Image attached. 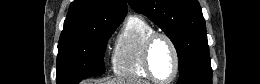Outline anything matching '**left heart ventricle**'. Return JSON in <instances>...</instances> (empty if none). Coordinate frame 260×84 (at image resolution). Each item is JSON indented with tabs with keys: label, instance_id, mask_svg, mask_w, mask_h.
<instances>
[{
	"label": "left heart ventricle",
	"instance_id": "left-heart-ventricle-1",
	"mask_svg": "<svg viewBox=\"0 0 260 84\" xmlns=\"http://www.w3.org/2000/svg\"><path fill=\"white\" fill-rule=\"evenodd\" d=\"M151 66L160 80H168L174 71V56L168 42L162 38L155 41L151 52Z\"/></svg>",
	"mask_w": 260,
	"mask_h": 84
}]
</instances>
